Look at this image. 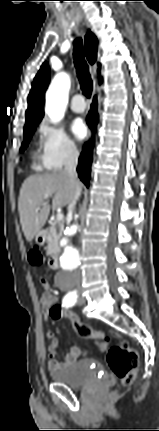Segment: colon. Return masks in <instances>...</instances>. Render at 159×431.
<instances>
[{
    "label": "colon",
    "instance_id": "5ec220e1",
    "mask_svg": "<svg viewBox=\"0 0 159 431\" xmlns=\"http://www.w3.org/2000/svg\"><path fill=\"white\" fill-rule=\"evenodd\" d=\"M29 258L33 264L41 262V254L38 251H32ZM46 303L47 307L52 310L51 322H64L66 325H73L79 337L99 340L96 346L101 349V353H106L107 363L112 373L125 386L134 382L139 357L129 342L123 340L113 345H108L107 338L102 332L94 330L88 324L81 322L80 315L76 309H67L63 301H56L53 295L46 298Z\"/></svg>",
    "mask_w": 159,
    "mask_h": 431
}]
</instances>
